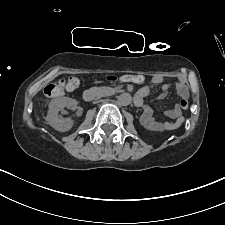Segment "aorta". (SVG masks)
<instances>
[{
    "label": "aorta",
    "instance_id": "1",
    "mask_svg": "<svg viewBox=\"0 0 225 225\" xmlns=\"http://www.w3.org/2000/svg\"><path fill=\"white\" fill-rule=\"evenodd\" d=\"M131 95L128 93H122L117 97V102L121 106H127L131 103Z\"/></svg>",
    "mask_w": 225,
    "mask_h": 225
}]
</instances>
